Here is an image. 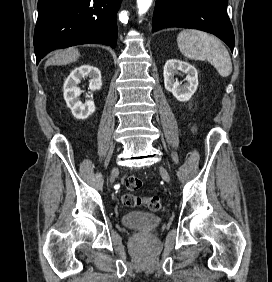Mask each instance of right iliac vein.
Here are the masks:
<instances>
[{"label": "right iliac vein", "mask_w": 272, "mask_h": 282, "mask_svg": "<svg viewBox=\"0 0 272 282\" xmlns=\"http://www.w3.org/2000/svg\"><path fill=\"white\" fill-rule=\"evenodd\" d=\"M117 172H118V168H117L116 166H114V167L112 168V171H111V178H110L111 182L114 181Z\"/></svg>", "instance_id": "obj_1"}]
</instances>
